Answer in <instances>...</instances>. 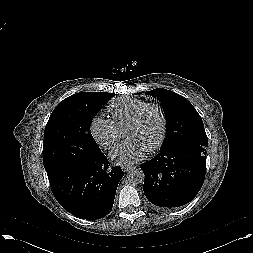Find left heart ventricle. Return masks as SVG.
<instances>
[{
  "instance_id": "left-heart-ventricle-1",
  "label": "left heart ventricle",
  "mask_w": 253,
  "mask_h": 253,
  "mask_svg": "<svg viewBox=\"0 0 253 253\" xmlns=\"http://www.w3.org/2000/svg\"><path fill=\"white\" fill-rule=\"evenodd\" d=\"M161 127L159 112L155 108L148 109L139 122L125 130V138L134 139L148 150L158 139Z\"/></svg>"
}]
</instances>
